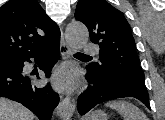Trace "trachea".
<instances>
[{"instance_id":"1","label":"trachea","mask_w":165,"mask_h":120,"mask_svg":"<svg viewBox=\"0 0 165 120\" xmlns=\"http://www.w3.org/2000/svg\"><path fill=\"white\" fill-rule=\"evenodd\" d=\"M76 55L86 56L85 54H82V53H76Z\"/></svg>"}]
</instances>
